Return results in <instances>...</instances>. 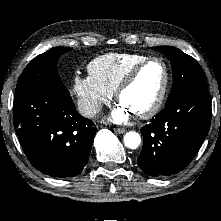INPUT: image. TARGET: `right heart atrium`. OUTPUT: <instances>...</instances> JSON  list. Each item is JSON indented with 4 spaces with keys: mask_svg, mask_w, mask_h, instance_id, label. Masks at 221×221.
<instances>
[{
    "mask_svg": "<svg viewBox=\"0 0 221 221\" xmlns=\"http://www.w3.org/2000/svg\"><path fill=\"white\" fill-rule=\"evenodd\" d=\"M71 90L80 113L87 118L95 117L112 97L90 75L74 76Z\"/></svg>",
    "mask_w": 221,
    "mask_h": 221,
    "instance_id": "d8ad5b80",
    "label": "right heart atrium"
}]
</instances>
